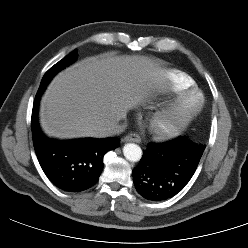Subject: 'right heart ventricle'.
<instances>
[{"instance_id":"1","label":"right heart ventricle","mask_w":248,"mask_h":248,"mask_svg":"<svg viewBox=\"0 0 248 248\" xmlns=\"http://www.w3.org/2000/svg\"><path fill=\"white\" fill-rule=\"evenodd\" d=\"M170 88L176 92H185L191 90L194 82L190 76L181 71H173L169 76Z\"/></svg>"}]
</instances>
